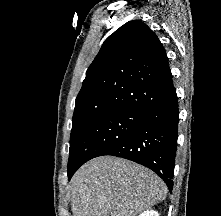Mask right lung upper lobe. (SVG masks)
<instances>
[{
    "label": "right lung upper lobe",
    "mask_w": 221,
    "mask_h": 216,
    "mask_svg": "<svg viewBox=\"0 0 221 216\" xmlns=\"http://www.w3.org/2000/svg\"><path fill=\"white\" fill-rule=\"evenodd\" d=\"M173 85L165 50L143 22L129 21L103 43L76 98L73 125L121 110L145 111Z\"/></svg>",
    "instance_id": "obj_1"
}]
</instances>
